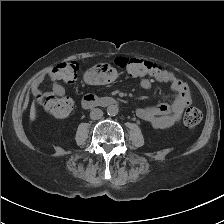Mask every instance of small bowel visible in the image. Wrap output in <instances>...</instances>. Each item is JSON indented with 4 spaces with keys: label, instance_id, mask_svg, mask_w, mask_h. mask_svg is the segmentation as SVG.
<instances>
[{
    "label": "small bowel",
    "instance_id": "obj_1",
    "mask_svg": "<svg viewBox=\"0 0 224 224\" xmlns=\"http://www.w3.org/2000/svg\"><path fill=\"white\" fill-rule=\"evenodd\" d=\"M53 67L42 72L33 82L32 91L36 98L65 96V89L59 83L62 81L57 73L53 72ZM171 77L168 83H165L173 93V102L171 104L159 103L152 106L140 107L136 110L139 118L149 123L157 129H165L177 123L184 109L192 102V94L188 86L181 82L172 72L167 71ZM117 77V72L108 64L102 63L93 66L85 74V81L89 84H108L113 82ZM45 81L51 84L50 91L42 90ZM160 82L159 80H156ZM140 86L143 89L151 88V81L148 78L140 79Z\"/></svg>",
    "mask_w": 224,
    "mask_h": 224
}]
</instances>
